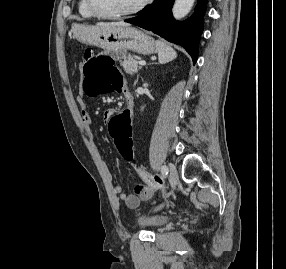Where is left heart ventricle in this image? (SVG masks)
<instances>
[{
    "mask_svg": "<svg viewBox=\"0 0 286 269\" xmlns=\"http://www.w3.org/2000/svg\"><path fill=\"white\" fill-rule=\"evenodd\" d=\"M143 0H94L96 8L105 14L125 12L136 7Z\"/></svg>",
    "mask_w": 286,
    "mask_h": 269,
    "instance_id": "1",
    "label": "left heart ventricle"
}]
</instances>
